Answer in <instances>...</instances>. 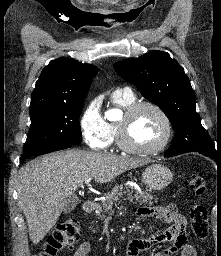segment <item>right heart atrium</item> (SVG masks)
<instances>
[{
	"instance_id": "obj_1",
	"label": "right heart atrium",
	"mask_w": 221,
	"mask_h": 256,
	"mask_svg": "<svg viewBox=\"0 0 221 256\" xmlns=\"http://www.w3.org/2000/svg\"><path fill=\"white\" fill-rule=\"evenodd\" d=\"M79 126L86 144L94 150L107 149L112 141L113 135L109 123L103 117L100 108L95 101H91L83 109Z\"/></svg>"
}]
</instances>
